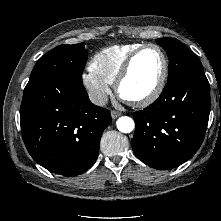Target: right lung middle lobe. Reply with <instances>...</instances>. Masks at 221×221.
<instances>
[{
  "label": "right lung middle lobe",
  "instance_id": "1",
  "mask_svg": "<svg viewBox=\"0 0 221 221\" xmlns=\"http://www.w3.org/2000/svg\"><path fill=\"white\" fill-rule=\"evenodd\" d=\"M84 45H60L49 51L36 63L30 80L56 84L67 81L82 83V72L88 56Z\"/></svg>",
  "mask_w": 221,
  "mask_h": 221
}]
</instances>
